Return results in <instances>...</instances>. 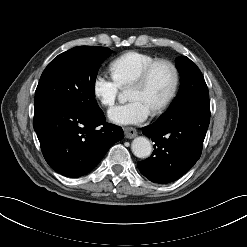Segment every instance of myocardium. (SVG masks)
Listing matches in <instances>:
<instances>
[{
  "mask_svg": "<svg viewBox=\"0 0 247 247\" xmlns=\"http://www.w3.org/2000/svg\"><path fill=\"white\" fill-rule=\"evenodd\" d=\"M159 66H166L171 70L172 83H171L168 93L163 98V100L160 103H158L154 108L151 109L153 113H158L162 111L163 109H165L170 104V102L173 100V98L175 97L177 93L178 86H179V72H178L176 65L169 60L158 59L152 62L151 64H149L140 73V75L127 87L128 89H131V88H140L144 86L148 82L153 71Z\"/></svg>",
  "mask_w": 247,
  "mask_h": 247,
  "instance_id": "f54148a6",
  "label": "myocardium"
}]
</instances>
